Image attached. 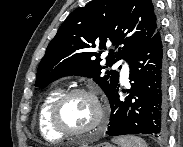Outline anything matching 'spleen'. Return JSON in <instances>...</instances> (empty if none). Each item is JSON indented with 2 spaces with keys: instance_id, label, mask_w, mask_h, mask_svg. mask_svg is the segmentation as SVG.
I'll list each match as a JSON object with an SVG mask.
<instances>
[{
  "instance_id": "1",
  "label": "spleen",
  "mask_w": 183,
  "mask_h": 147,
  "mask_svg": "<svg viewBox=\"0 0 183 147\" xmlns=\"http://www.w3.org/2000/svg\"><path fill=\"white\" fill-rule=\"evenodd\" d=\"M119 147H147L146 142L137 136H124L112 139Z\"/></svg>"
}]
</instances>
